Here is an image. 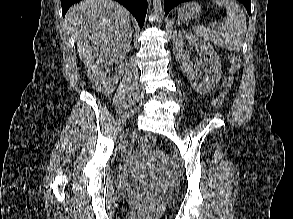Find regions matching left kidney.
I'll list each match as a JSON object with an SVG mask.
<instances>
[{"label":"left kidney","mask_w":293,"mask_h":219,"mask_svg":"<svg viewBox=\"0 0 293 219\" xmlns=\"http://www.w3.org/2000/svg\"><path fill=\"white\" fill-rule=\"evenodd\" d=\"M172 40L174 55L180 63L182 71L187 75L193 89L200 94L208 93L219 82L222 73L221 61L214 48L206 41L195 37L184 29L175 30ZM186 40L196 45L199 52L209 60V70L204 78L193 69L188 53L184 49Z\"/></svg>","instance_id":"1"}]
</instances>
